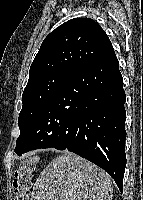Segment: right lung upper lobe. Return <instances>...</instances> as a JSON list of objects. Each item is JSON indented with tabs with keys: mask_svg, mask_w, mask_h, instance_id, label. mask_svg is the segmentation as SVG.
I'll list each match as a JSON object with an SVG mask.
<instances>
[{
	"mask_svg": "<svg viewBox=\"0 0 143 200\" xmlns=\"http://www.w3.org/2000/svg\"><path fill=\"white\" fill-rule=\"evenodd\" d=\"M114 52L101 26L92 19H71L42 42L31 64L28 83L50 74L72 75Z\"/></svg>",
	"mask_w": 143,
	"mask_h": 200,
	"instance_id": "right-lung-upper-lobe-1",
	"label": "right lung upper lobe"
}]
</instances>
